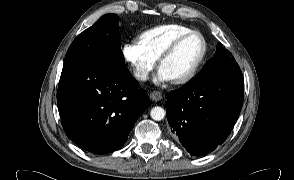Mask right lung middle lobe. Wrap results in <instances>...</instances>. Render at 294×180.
Masks as SVG:
<instances>
[{
    "mask_svg": "<svg viewBox=\"0 0 294 180\" xmlns=\"http://www.w3.org/2000/svg\"><path fill=\"white\" fill-rule=\"evenodd\" d=\"M118 17L106 14L79 34L70 45L62 72L87 63L124 66Z\"/></svg>",
    "mask_w": 294,
    "mask_h": 180,
    "instance_id": "1",
    "label": "right lung middle lobe"
}]
</instances>
